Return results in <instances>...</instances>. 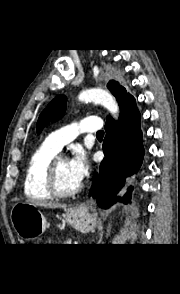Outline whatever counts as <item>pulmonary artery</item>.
<instances>
[{
  "label": "pulmonary artery",
  "mask_w": 180,
  "mask_h": 294,
  "mask_svg": "<svg viewBox=\"0 0 180 294\" xmlns=\"http://www.w3.org/2000/svg\"><path fill=\"white\" fill-rule=\"evenodd\" d=\"M102 122L98 116H90L82 119L79 124H69L51 133L44 141V144L55 150L57 153L64 145L73 141L79 134L93 132L101 129Z\"/></svg>",
  "instance_id": "pulmonary-artery-1"
}]
</instances>
